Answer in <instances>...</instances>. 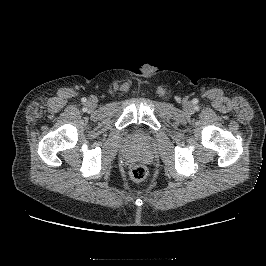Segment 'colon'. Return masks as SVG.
I'll return each instance as SVG.
<instances>
[{
    "label": "colon",
    "instance_id": "obj_1",
    "mask_svg": "<svg viewBox=\"0 0 266 266\" xmlns=\"http://www.w3.org/2000/svg\"><path fill=\"white\" fill-rule=\"evenodd\" d=\"M148 175V169L143 164L134 165L130 169V177L136 182H142Z\"/></svg>",
    "mask_w": 266,
    "mask_h": 266
}]
</instances>
